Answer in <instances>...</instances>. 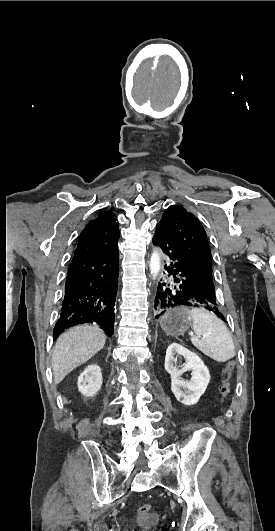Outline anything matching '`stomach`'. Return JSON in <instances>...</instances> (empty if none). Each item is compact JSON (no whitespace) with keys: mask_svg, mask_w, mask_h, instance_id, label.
Wrapping results in <instances>:
<instances>
[{"mask_svg":"<svg viewBox=\"0 0 275 531\" xmlns=\"http://www.w3.org/2000/svg\"><path fill=\"white\" fill-rule=\"evenodd\" d=\"M160 325L165 333L177 337V335H184L185 331L192 327V319L187 309H170L161 317Z\"/></svg>","mask_w":275,"mask_h":531,"instance_id":"0dacf381","label":"stomach"}]
</instances>
